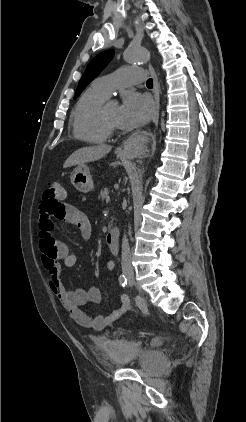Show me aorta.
<instances>
[{
  "label": "aorta",
  "instance_id": "762f6f07",
  "mask_svg": "<svg viewBox=\"0 0 246 422\" xmlns=\"http://www.w3.org/2000/svg\"><path fill=\"white\" fill-rule=\"evenodd\" d=\"M124 58L128 63H145L149 60L148 51L142 47H129L124 52Z\"/></svg>",
  "mask_w": 246,
  "mask_h": 422
}]
</instances>
